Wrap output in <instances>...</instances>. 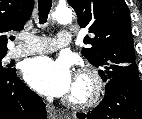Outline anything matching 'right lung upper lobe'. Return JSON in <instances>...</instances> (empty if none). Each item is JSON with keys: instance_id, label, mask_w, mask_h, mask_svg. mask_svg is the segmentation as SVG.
Instances as JSON below:
<instances>
[{"instance_id": "right-lung-upper-lobe-1", "label": "right lung upper lobe", "mask_w": 142, "mask_h": 119, "mask_svg": "<svg viewBox=\"0 0 142 119\" xmlns=\"http://www.w3.org/2000/svg\"><path fill=\"white\" fill-rule=\"evenodd\" d=\"M33 6L34 0H0V52H7L8 33L24 28Z\"/></svg>"}]
</instances>
